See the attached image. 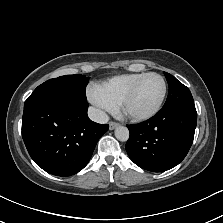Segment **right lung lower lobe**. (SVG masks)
I'll use <instances>...</instances> for the list:
<instances>
[{
	"label": "right lung lower lobe",
	"instance_id": "right-lung-lower-lobe-1",
	"mask_svg": "<svg viewBox=\"0 0 223 223\" xmlns=\"http://www.w3.org/2000/svg\"><path fill=\"white\" fill-rule=\"evenodd\" d=\"M88 103L77 99L39 102L24 107L22 137L35 163L46 172L70 176L89 162L109 125L87 116Z\"/></svg>",
	"mask_w": 223,
	"mask_h": 223
}]
</instances>
